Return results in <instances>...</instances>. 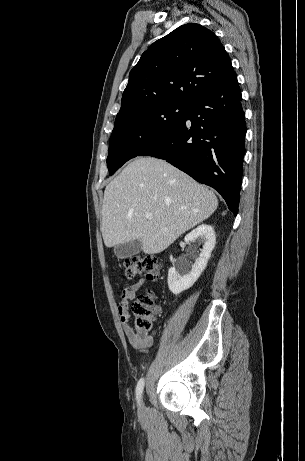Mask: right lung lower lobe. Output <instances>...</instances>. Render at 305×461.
Segmentation results:
<instances>
[{
    "label": "right lung lower lobe",
    "instance_id": "98d812e1",
    "mask_svg": "<svg viewBox=\"0 0 305 461\" xmlns=\"http://www.w3.org/2000/svg\"><path fill=\"white\" fill-rule=\"evenodd\" d=\"M241 100L234 74L193 99L179 127L139 156L164 159L213 187L237 215L246 134Z\"/></svg>",
    "mask_w": 305,
    "mask_h": 461
}]
</instances>
